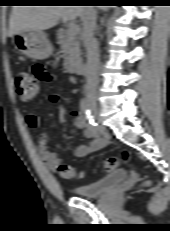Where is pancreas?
Wrapping results in <instances>:
<instances>
[{
	"instance_id": "cf45deb5",
	"label": "pancreas",
	"mask_w": 170,
	"mask_h": 231,
	"mask_svg": "<svg viewBox=\"0 0 170 231\" xmlns=\"http://www.w3.org/2000/svg\"><path fill=\"white\" fill-rule=\"evenodd\" d=\"M58 43L64 53V68L73 71L81 62L80 42L69 30L61 29L57 33Z\"/></svg>"
}]
</instances>
